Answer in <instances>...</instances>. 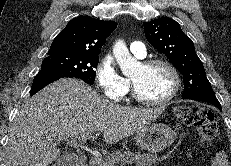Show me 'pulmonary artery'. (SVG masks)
Wrapping results in <instances>:
<instances>
[{"label": "pulmonary artery", "mask_w": 231, "mask_h": 166, "mask_svg": "<svg viewBox=\"0 0 231 166\" xmlns=\"http://www.w3.org/2000/svg\"><path fill=\"white\" fill-rule=\"evenodd\" d=\"M129 49L131 53L138 58H144L146 56V46L141 41H133L130 43Z\"/></svg>", "instance_id": "pulmonary-artery-1"}]
</instances>
